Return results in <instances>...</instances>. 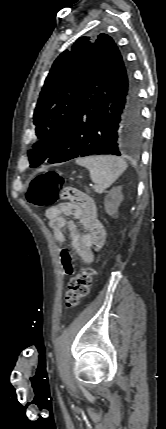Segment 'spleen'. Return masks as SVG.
<instances>
[{
	"instance_id": "spleen-1",
	"label": "spleen",
	"mask_w": 166,
	"mask_h": 429,
	"mask_svg": "<svg viewBox=\"0 0 166 429\" xmlns=\"http://www.w3.org/2000/svg\"><path fill=\"white\" fill-rule=\"evenodd\" d=\"M76 164L87 168L92 182L102 189L110 187L127 168L122 158L111 155L78 158Z\"/></svg>"
}]
</instances>
